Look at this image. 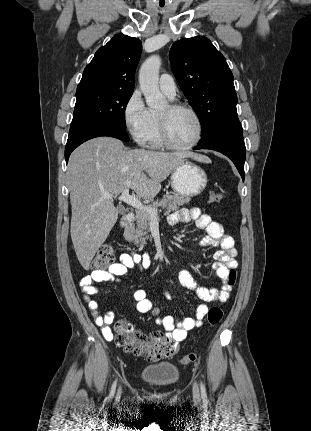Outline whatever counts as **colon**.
<instances>
[{
  "mask_svg": "<svg viewBox=\"0 0 311 431\" xmlns=\"http://www.w3.org/2000/svg\"><path fill=\"white\" fill-rule=\"evenodd\" d=\"M223 196L217 192L209 194L210 203H219ZM114 259V249L110 243H104L97 251L93 261L92 268L102 270L108 267ZM236 280V270L230 269L227 276V286L230 288ZM223 317V312L219 307H211L207 312L208 323L212 326L220 323ZM113 331L115 341L119 347H122L126 352L137 356H145L149 361H157L163 358H168L176 354L178 344L172 339L164 335H156L148 338L143 333L135 330L128 322L123 319H117L113 323ZM197 356L195 353L185 355L181 359V364L187 365L193 363Z\"/></svg>",
  "mask_w": 311,
  "mask_h": 431,
  "instance_id": "1",
  "label": "colon"
}]
</instances>
